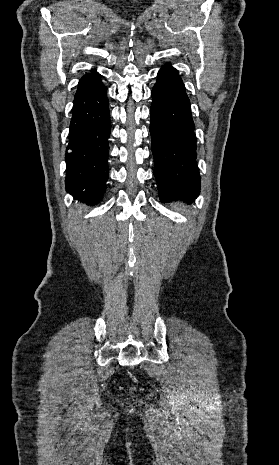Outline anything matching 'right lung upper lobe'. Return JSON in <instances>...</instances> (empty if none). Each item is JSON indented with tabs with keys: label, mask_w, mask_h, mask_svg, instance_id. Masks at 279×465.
Masks as SVG:
<instances>
[{
	"label": "right lung upper lobe",
	"mask_w": 279,
	"mask_h": 465,
	"mask_svg": "<svg viewBox=\"0 0 279 465\" xmlns=\"http://www.w3.org/2000/svg\"><path fill=\"white\" fill-rule=\"evenodd\" d=\"M98 77H99V74L97 73V71L95 69H93L91 73H87L86 75H84L80 79L79 84H78V88L83 86L84 84H87V83L97 79Z\"/></svg>",
	"instance_id": "1"
}]
</instances>
